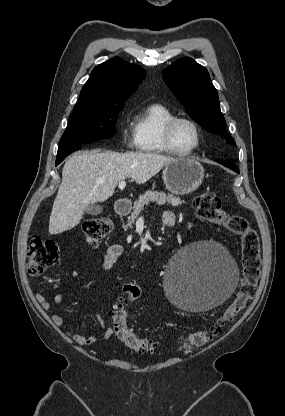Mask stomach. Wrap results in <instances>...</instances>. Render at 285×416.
<instances>
[{
	"label": "stomach",
	"instance_id": "stomach-1",
	"mask_svg": "<svg viewBox=\"0 0 285 416\" xmlns=\"http://www.w3.org/2000/svg\"><path fill=\"white\" fill-rule=\"evenodd\" d=\"M162 178L166 190L177 196H184V194L195 192L201 186L204 168L197 160L182 156L166 164Z\"/></svg>",
	"mask_w": 285,
	"mask_h": 416
}]
</instances>
